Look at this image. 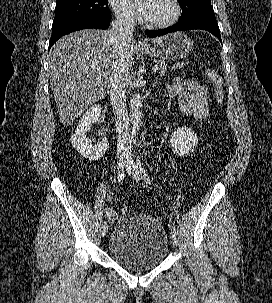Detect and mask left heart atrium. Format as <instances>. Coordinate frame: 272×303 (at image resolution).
<instances>
[{"label":"left heart atrium","instance_id":"left-heart-atrium-1","mask_svg":"<svg viewBox=\"0 0 272 303\" xmlns=\"http://www.w3.org/2000/svg\"><path fill=\"white\" fill-rule=\"evenodd\" d=\"M128 3L134 9L138 17L147 20L151 10L152 0H128Z\"/></svg>","mask_w":272,"mask_h":303}]
</instances>
